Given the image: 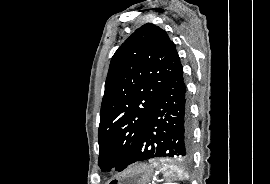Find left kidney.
<instances>
[{
    "instance_id": "left-kidney-1",
    "label": "left kidney",
    "mask_w": 270,
    "mask_h": 184,
    "mask_svg": "<svg viewBox=\"0 0 270 184\" xmlns=\"http://www.w3.org/2000/svg\"><path fill=\"white\" fill-rule=\"evenodd\" d=\"M170 184H178V183H170Z\"/></svg>"
}]
</instances>
